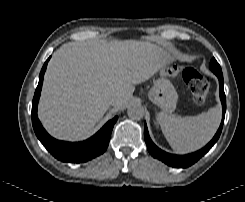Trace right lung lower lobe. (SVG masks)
<instances>
[{"instance_id": "98d812e1", "label": "right lung lower lobe", "mask_w": 245, "mask_h": 202, "mask_svg": "<svg viewBox=\"0 0 245 202\" xmlns=\"http://www.w3.org/2000/svg\"><path fill=\"white\" fill-rule=\"evenodd\" d=\"M50 57L44 63L40 72L39 83L36 88L32 102V125L37 138L44 147L58 160L63 162L81 163L91 160L102 154L108 147L111 132L118 116L109 120L94 136L83 142H64L52 138L42 127L37 117V106L43 83V77L47 63Z\"/></svg>"}]
</instances>
